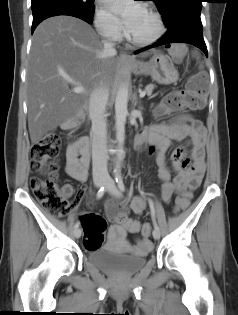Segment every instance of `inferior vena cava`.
<instances>
[{
  "instance_id": "obj_1",
  "label": "inferior vena cava",
  "mask_w": 238,
  "mask_h": 315,
  "mask_svg": "<svg viewBox=\"0 0 238 315\" xmlns=\"http://www.w3.org/2000/svg\"><path fill=\"white\" fill-rule=\"evenodd\" d=\"M104 56L116 55L114 44L104 41ZM109 96V87L105 84L97 86L90 95L89 117L92 121V164L93 179L109 178L107 162V126L104 118Z\"/></svg>"
}]
</instances>
